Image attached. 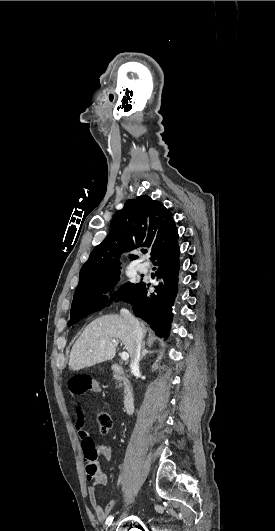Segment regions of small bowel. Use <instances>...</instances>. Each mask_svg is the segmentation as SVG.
<instances>
[{"mask_svg":"<svg viewBox=\"0 0 275 531\" xmlns=\"http://www.w3.org/2000/svg\"><path fill=\"white\" fill-rule=\"evenodd\" d=\"M98 377L96 374L91 373L89 375H70L68 383L70 385L69 393L76 401L75 413L78 416L84 417L87 415L88 410L83 406L82 399L84 398V392L97 390L99 385L96 383ZM78 432L79 439L82 447L91 445L94 443L92 437L85 429V419L80 418L75 424ZM99 454L105 460H109L112 455V450L109 446H103L99 448ZM93 483L88 489L89 502L94 509L96 516L99 520H104L108 514L116 507L117 501L110 500L105 506H102L99 501L98 488L107 484V476L105 473L98 471L96 475L92 476Z\"/></svg>","mask_w":275,"mask_h":531,"instance_id":"small-bowel-1","label":"small bowel"}]
</instances>
